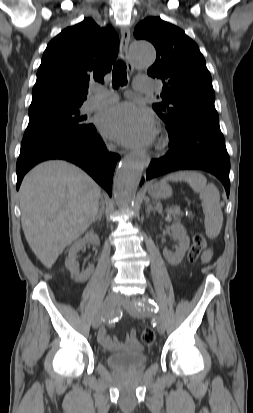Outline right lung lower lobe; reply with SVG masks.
Here are the masks:
<instances>
[{"label": "right lung lower lobe", "instance_id": "98d812e1", "mask_svg": "<svg viewBox=\"0 0 253 413\" xmlns=\"http://www.w3.org/2000/svg\"><path fill=\"white\" fill-rule=\"evenodd\" d=\"M49 159H63L78 165L112 195V178L120 156L107 152L94 126L83 133L50 138L21 147L16 165L17 190L24 175L32 167Z\"/></svg>", "mask_w": 253, "mask_h": 413}]
</instances>
